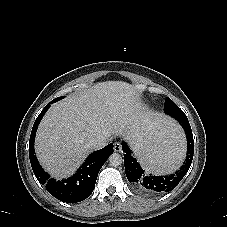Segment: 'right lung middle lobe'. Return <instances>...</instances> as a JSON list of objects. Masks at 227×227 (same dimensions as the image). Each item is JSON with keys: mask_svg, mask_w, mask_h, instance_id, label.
Listing matches in <instances>:
<instances>
[{"mask_svg": "<svg viewBox=\"0 0 227 227\" xmlns=\"http://www.w3.org/2000/svg\"><path fill=\"white\" fill-rule=\"evenodd\" d=\"M63 97H64V96H62V97H57V98H55V99L53 100V102H56V101L62 99Z\"/></svg>", "mask_w": 227, "mask_h": 227, "instance_id": "obj_1", "label": "right lung middle lobe"}]
</instances>
